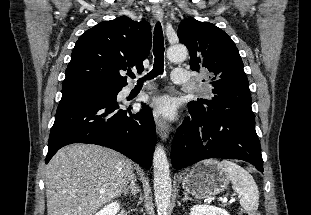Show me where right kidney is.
<instances>
[{"label": "right kidney", "instance_id": "obj_1", "mask_svg": "<svg viewBox=\"0 0 311 215\" xmlns=\"http://www.w3.org/2000/svg\"><path fill=\"white\" fill-rule=\"evenodd\" d=\"M120 209V204L116 202H112L109 205L105 206L103 209H101L99 212H97L95 215H116L117 212Z\"/></svg>", "mask_w": 311, "mask_h": 215}]
</instances>
